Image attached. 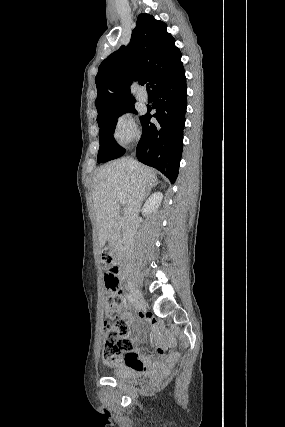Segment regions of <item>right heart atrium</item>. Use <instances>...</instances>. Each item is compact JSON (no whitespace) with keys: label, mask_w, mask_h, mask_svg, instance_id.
Returning <instances> with one entry per match:
<instances>
[{"label":"right heart atrium","mask_w":285,"mask_h":427,"mask_svg":"<svg viewBox=\"0 0 285 427\" xmlns=\"http://www.w3.org/2000/svg\"><path fill=\"white\" fill-rule=\"evenodd\" d=\"M137 135V126L131 114L125 113L118 117L113 136L121 145L128 144Z\"/></svg>","instance_id":"obj_1"}]
</instances>
